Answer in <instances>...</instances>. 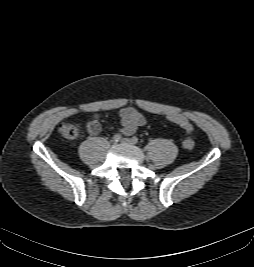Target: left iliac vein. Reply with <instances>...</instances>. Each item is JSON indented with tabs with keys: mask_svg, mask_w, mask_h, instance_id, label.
I'll list each match as a JSON object with an SVG mask.
<instances>
[{
	"mask_svg": "<svg viewBox=\"0 0 254 267\" xmlns=\"http://www.w3.org/2000/svg\"><path fill=\"white\" fill-rule=\"evenodd\" d=\"M121 142H122V143H126V144H134V143L132 142V140L129 139V138H123V139L121 140Z\"/></svg>",
	"mask_w": 254,
	"mask_h": 267,
	"instance_id": "obj_1",
	"label": "left iliac vein"
}]
</instances>
